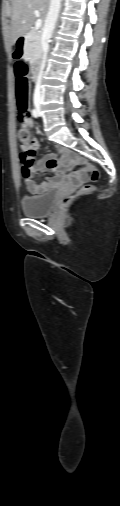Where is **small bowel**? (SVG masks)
Here are the masks:
<instances>
[{
  "instance_id": "1",
  "label": "small bowel",
  "mask_w": 120,
  "mask_h": 506,
  "mask_svg": "<svg viewBox=\"0 0 120 506\" xmlns=\"http://www.w3.org/2000/svg\"><path fill=\"white\" fill-rule=\"evenodd\" d=\"M32 121L28 120L23 126L31 127ZM61 157L58 158L56 153L46 154L40 159L37 164L31 168L27 167L24 162L22 169L23 176L25 178V184L29 192L33 194H39L44 192L49 185L63 182L67 179L72 180L74 183H80L88 180V177L83 172H74L70 175L67 171L72 169L78 161V156L73 151L64 149L59 150ZM24 161V160H23ZM52 171L54 176L41 182L36 183L34 175L36 172Z\"/></svg>"
}]
</instances>
